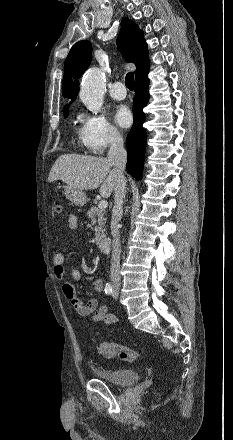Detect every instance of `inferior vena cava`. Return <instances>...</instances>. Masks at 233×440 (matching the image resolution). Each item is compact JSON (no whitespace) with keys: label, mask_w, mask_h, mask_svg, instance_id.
Wrapping results in <instances>:
<instances>
[{"label":"inferior vena cava","mask_w":233,"mask_h":440,"mask_svg":"<svg viewBox=\"0 0 233 440\" xmlns=\"http://www.w3.org/2000/svg\"><path fill=\"white\" fill-rule=\"evenodd\" d=\"M108 161L115 167L117 180L114 188V207L111 219L112 258L110 279L113 285H120V234L119 221L123 215V199L125 198L126 178L124 170L127 161V152L123 146V138L119 133H114L108 151Z\"/></svg>","instance_id":"obj_1"}]
</instances>
